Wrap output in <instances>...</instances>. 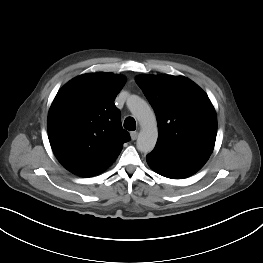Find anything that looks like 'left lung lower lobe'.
<instances>
[{"mask_svg":"<svg viewBox=\"0 0 263 263\" xmlns=\"http://www.w3.org/2000/svg\"><path fill=\"white\" fill-rule=\"evenodd\" d=\"M209 156L201 154L173 153L158 148L146 156L148 165L158 174L172 178H186L198 170L208 160Z\"/></svg>","mask_w":263,"mask_h":263,"instance_id":"left-lung-lower-lobe-1","label":"left lung lower lobe"}]
</instances>
